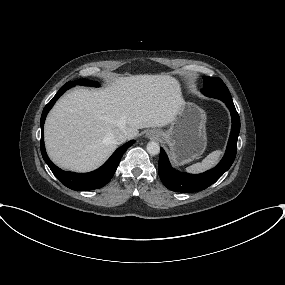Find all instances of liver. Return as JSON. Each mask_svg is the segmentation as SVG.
Wrapping results in <instances>:
<instances>
[{"instance_id":"obj_1","label":"liver","mask_w":285,"mask_h":285,"mask_svg":"<svg viewBox=\"0 0 285 285\" xmlns=\"http://www.w3.org/2000/svg\"><path fill=\"white\" fill-rule=\"evenodd\" d=\"M180 84L170 75L118 77L103 90L75 89L57 101L44 126L50 159L59 167L87 172L117 148L112 135L170 124L182 102Z\"/></svg>"}]
</instances>
